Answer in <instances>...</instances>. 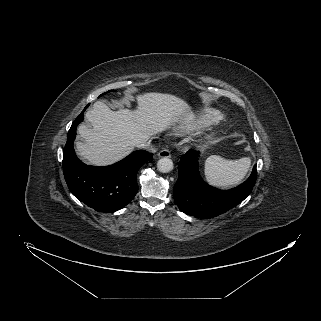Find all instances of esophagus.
Instances as JSON below:
<instances>
[{
	"instance_id": "34e87169",
	"label": "esophagus",
	"mask_w": 321,
	"mask_h": 321,
	"mask_svg": "<svg viewBox=\"0 0 321 321\" xmlns=\"http://www.w3.org/2000/svg\"><path fill=\"white\" fill-rule=\"evenodd\" d=\"M158 157H160V158H170L171 157L170 151L168 149H163L158 153Z\"/></svg>"
}]
</instances>
